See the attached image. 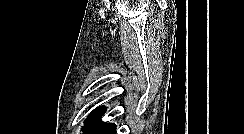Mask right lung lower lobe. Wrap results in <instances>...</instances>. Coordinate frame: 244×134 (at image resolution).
Masks as SVG:
<instances>
[{
    "mask_svg": "<svg viewBox=\"0 0 244 134\" xmlns=\"http://www.w3.org/2000/svg\"><path fill=\"white\" fill-rule=\"evenodd\" d=\"M113 134H116V130L113 132Z\"/></svg>",
    "mask_w": 244,
    "mask_h": 134,
    "instance_id": "1",
    "label": "right lung lower lobe"
}]
</instances>
